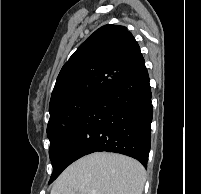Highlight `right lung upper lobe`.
<instances>
[{"label": "right lung upper lobe", "instance_id": "obj_1", "mask_svg": "<svg viewBox=\"0 0 201 194\" xmlns=\"http://www.w3.org/2000/svg\"><path fill=\"white\" fill-rule=\"evenodd\" d=\"M142 62L144 58L140 47L126 27L102 26L78 47L62 67L49 110L76 97L101 95Z\"/></svg>", "mask_w": 201, "mask_h": 194}]
</instances>
